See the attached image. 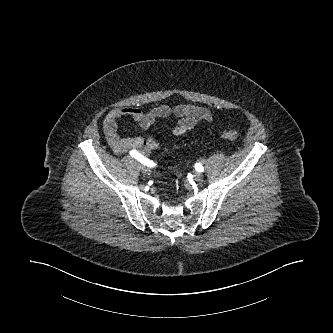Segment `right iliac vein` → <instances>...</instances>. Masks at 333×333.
<instances>
[{
    "label": "right iliac vein",
    "mask_w": 333,
    "mask_h": 333,
    "mask_svg": "<svg viewBox=\"0 0 333 333\" xmlns=\"http://www.w3.org/2000/svg\"><path fill=\"white\" fill-rule=\"evenodd\" d=\"M140 169H141L142 173L145 175H150V173H151L150 168L145 165H141Z\"/></svg>",
    "instance_id": "63e3f726"
}]
</instances>
